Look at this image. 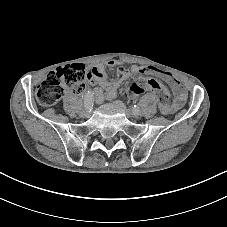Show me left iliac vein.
<instances>
[{"mask_svg": "<svg viewBox=\"0 0 227 227\" xmlns=\"http://www.w3.org/2000/svg\"><path fill=\"white\" fill-rule=\"evenodd\" d=\"M115 104L120 108V109H122L123 110V112H125V114L127 115V117H130L131 115H135V116H137V112L138 111H135L136 109H134V111H130L129 109H127L126 107H125V105L121 102V101H115Z\"/></svg>", "mask_w": 227, "mask_h": 227, "instance_id": "4c4485c4", "label": "left iliac vein"}]
</instances>
